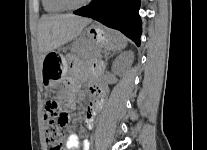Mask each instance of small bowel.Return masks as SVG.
I'll return each instance as SVG.
<instances>
[{"label": "small bowel", "mask_w": 207, "mask_h": 150, "mask_svg": "<svg viewBox=\"0 0 207 150\" xmlns=\"http://www.w3.org/2000/svg\"><path fill=\"white\" fill-rule=\"evenodd\" d=\"M98 65H93V70H97ZM84 79L83 75H78L69 79L68 86H69V93L66 95L65 99L67 105L70 108L76 107V92L80 87V82ZM90 90L93 96L92 101L89 103L84 123L88 128L93 126L94 120L97 116L98 111L102 106L103 96L105 94V89L102 85L97 82H94L90 86ZM79 145L78 136L76 133L71 132L69 133L66 139V148L67 150H77ZM92 140H83L82 150H91Z\"/></svg>", "instance_id": "c3829d8e"}]
</instances>
